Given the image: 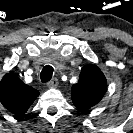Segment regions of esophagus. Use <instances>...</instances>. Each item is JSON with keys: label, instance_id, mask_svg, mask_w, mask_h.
Here are the masks:
<instances>
[{"label": "esophagus", "instance_id": "esophagus-1", "mask_svg": "<svg viewBox=\"0 0 133 133\" xmlns=\"http://www.w3.org/2000/svg\"><path fill=\"white\" fill-rule=\"evenodd\" d=\"M59 82L57 78H53L51 81L47 83V86L49 88H56L58 86Z\"/></svg>", "mask_w": 133, "mask_h": 133}]
</instances>
